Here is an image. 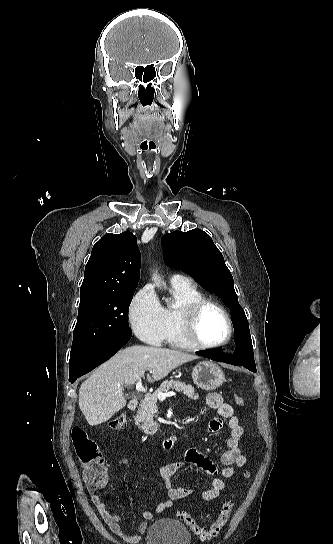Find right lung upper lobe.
Here are the masks:
<instances>
[{
  "label": "right lung upper lobe",
  "instance_id": "1",
  "mask_svg": "<svg viewBox=\"0 0 333 544\" xmlns=\"http://www.w3.org/2000/svg\"><path fill=\"white\" fill-rule=\"evenodd\" d=\"M141 254L131 232L104 235L92 249L80 288V304L110 292L135 291Z\"/></svg>",
  "mask_w": 333,
  "mask_h": 544
}]
</instances>
